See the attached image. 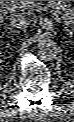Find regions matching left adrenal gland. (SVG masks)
<instances>
[{
	"label": "left adrenal gland",
	"mask_w": 74,
	"mask_h": 122,
	"mask_svg": "<svg viewBox=\"0 0 74 122\" xmlns=\"http://www.w3.org/2000/svg\"><path fill=\"white\" fill-rule=\"evenodd\" d=\"M64 29L67 32V34H69L70 30L67 27H64Z\"/></svg>",
	"instance_id": "obj_1"
}]
</instances>
